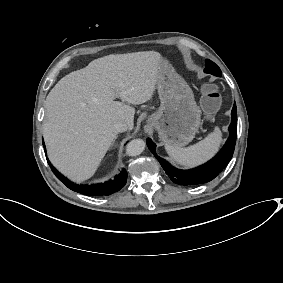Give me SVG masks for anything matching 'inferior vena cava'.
Segmentation results:
<instances>
[{
    "label": "inferior vena cava",
    "instance_id": "obj_1",
    "mask_svg": "<svg viewBox=\"0 0 283 283\" xmlns=\"http://www.w3.org/2000/svg\"><path fill=\"white\" fill-rule=\"evenodd\" d=\"M115 128L118 132L129 130V126L125 121L117 122Z\"/></svg>",
    "mask_w": 283,
    "mask_h": 283
}]
</instances>
